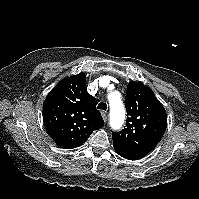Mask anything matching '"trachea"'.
I'll return each instance as SVG.
<instances>
[{
  "label": "trachea",
  "instance_id": "1",
  "mask_svg": "<svg viewBox=\"0 0 199 199\" xmlns=\"http://www.w3.org/2000/svg\"><path fill=\"white\" fill-rule=\"evenodd\" d=\"M98 109H101V110L106 111V109H107V104L104 103V102L99 103V104H98Z\"/></svg>",
  "mask_w": 199,
  "mask_h": 199
}]
</instances>
